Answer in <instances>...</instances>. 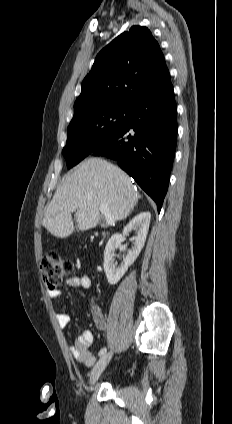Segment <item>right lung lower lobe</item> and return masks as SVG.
<instances>
[{"instance_id": "98d812e1", "label": "right lung lower lobe", "mask_w": 232, "mask_h": 424, "mask_svg": "<svg viewBox=\"0 0 232 424\" xmlns=\"http://www.w3.org/2000/svg\"><path fill=\"white\" fill-rule=\"evenodd\" d=\"M177 140V108L168 73L131 106L128 122L91 155L114 159L156 202L166 195Z\"/></svg>"}]
</instances>
